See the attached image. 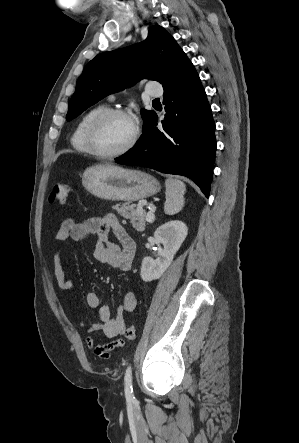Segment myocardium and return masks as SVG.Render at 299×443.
Instances as JSON below:
<instances>
[{
	"label": "myocardium",
	"mask_w": 299,
	"mask_h": 443,
	"mask_svg": "<svg viewBox=\"0 0 299 443\" xmlns=\"http://www.w3.org/2000/svg\"><path fill=\"white\" fill-rule=\"evenodd\" d=\"M125 117L132 121L133 123V134L130 141L120 150L112 153H105L98 149L96 143L97 134L102 126V124L109 118L112 117ZM139 126L133 116L124 109L119 108H110L105 109L100 112L98 115L94 117V119L90 122L87 131H86V144L92 155L100 159H115L120 156L125 155L130 150L134 148L138 139H139Z\"/></svg>",
	"instance_id": "obj_1"
}]
</instances>
